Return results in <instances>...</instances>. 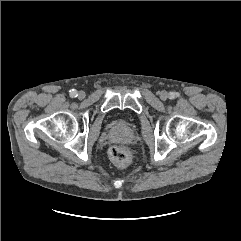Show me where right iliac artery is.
Segmentation results:
<instances>
[{
  "label": "right iliac artery",
  "instance_id": "right-iliac-artery-1",
  "mask_svg": "<svg viewBox=\"0 0 241 241\" xmlns=\"http://www.w3.org/2000/svg\"><path fill=\"white\" fill-rule=\"evenodd\" d=\"M69 94H70V96L72 97V98H75V97H77V91L75 90V89H71L70 91H69Z\"/></svg>",
  "mask_w": 241,
  "mask_h": 241
}]
</instances>
